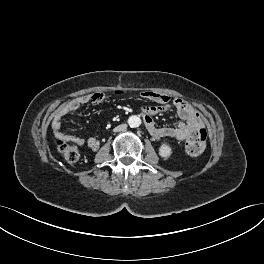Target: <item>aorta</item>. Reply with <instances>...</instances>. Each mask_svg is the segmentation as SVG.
Here are the masks:
<instances>
[{
  "label": "aorta",
  "mask_w": 264,
  "mask_h": 264,
  "mask_svg": "<svg viewBox=\"0 0 264 264\" xmlns=\"http://www.w3.org/2000/svg\"><path fill=\"white\" fill-rule=\"evenodd\" d=\"M128 124L131 128L139 127L141 124V119L137 115H132L128 118Z\"/></svg>",
  "instance_id": "aorta-1"
}]
</instances>
